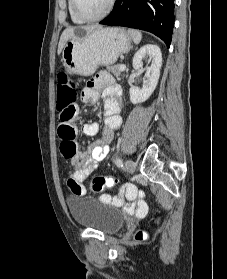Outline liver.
Here are the masks:
<instances>
[{
  "instance_id": "1",
  "label": "liver",
  "mask_w": 227,
  "mask_h": 279,
  "mask_svg": "<svg viewBox=\"0 0 227 279\" xmlns=\"http://www.w3.org/2000/svg\"><path fill=\"white\" fill-rule=\"evenodd\" d=\"M98 28H100L99 25H90V26L81 27V29L85 30L86 33H90L91 31L98 29ZM75 29L76 28H74V27H67L62 32L60 40H59V44H58V50H57L58 55L61 54L67 41L78 38V36L75 34Z\"/></svg>"
}]
</instances>
